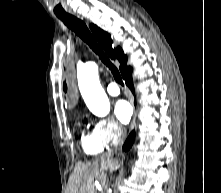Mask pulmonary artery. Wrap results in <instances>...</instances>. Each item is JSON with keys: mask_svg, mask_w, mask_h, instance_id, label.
<instances>
[{"mask_svg": "<svg viewBox=\"0 0 221 193\" xmlns=\"http://www.w3.org/2000/svg\"><path fill=\"white\" fill-rule=\"evenodd\" d=\"M106 90L112 96H116L120 93V89H119L118 85L114 82L108 84Z\"/></svg>", "mask_w": 221, "mask_h": 193, "instance_id": "1", "label": "pulmonary artery"}]
</instances>
